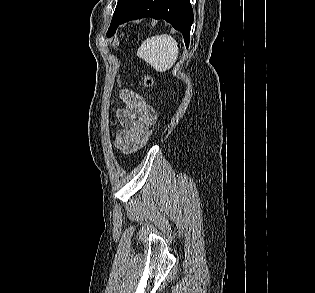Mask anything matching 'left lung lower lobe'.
<instances>
[{"label": "left lung lower lobe", "instance_id": "0a47b994", "mask_svg": "<svg viewBox=\"0 0 315 293\" xmlns=\"http://www.w3.org/2000/svg\"><path fill=\"white\" fill-rule=\"evenodd\" d=\"M144 17L166 20L176 30L182 32L185 44L188 47L190 29L193 23V10L190 0H139L120 20L118 26Z\"/></svg>", "mask_w": 315, "mask_h": 293}]
</instances>
